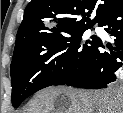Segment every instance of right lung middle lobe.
<instances>
[{"mask_svg":"<svg viewBox=\"0 0 123 113\" xmlns=\"http://www.w3.org/2000/svg\"><path fill=\"white\" fill-rule=\"evenodd\" d=\"M84 29L41 38L15 47L11 62L12 104L52 85H64L79 76L101 42L86 38Z\"/></svg>","mask_w":123,"mask_h":113,"instance_id":"obj_1","label":"right lung middle lobe"}]
</instances>
